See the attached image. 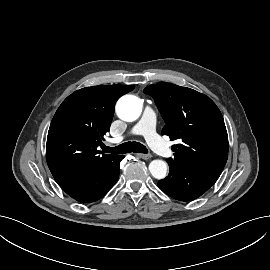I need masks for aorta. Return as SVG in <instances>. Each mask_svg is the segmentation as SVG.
Wrapping results in <instances>:
<instances>
[{"mask_svg": "<svg viewBox=\"0 0 270 270\" xmlns=\"http://www.w3.org/2000/svg\"><path fill=\"white\" fill-rule=\"evenodd\" d=\"M142 112V103L134 95L121 97L116 104V113L124 121L132 122L139 118ZM149 171L156 179H164L167 174V164L162 160H153L149 164Z\"/></svg>", "mask_w": 270, "mask_h": 270, "instance_id": "1", "label": "aorta"}]
</instances>
